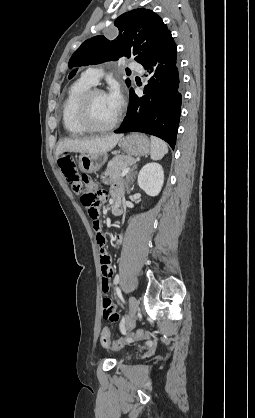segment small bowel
<instances>
[{
    "label": "small bowel",
    "instance_id": "obj_1",
    "mask_svg": "<svg viewBox=\"0 0 255 418\" xmlns=\"http://www.w3.org/2000/svg\"><path fill=\"white\" fill-rule=\"evenodd\" d=\"M121 189L120 187H114L111 191V197L113 200V209L114 211H121L120 204L118 199L121 196ZM121 241V237H117L115 240L116 244H119ZM97 254L99 255L100 259V266H101V287L104 293L108 292L110 288V279L113 275V266L111 263V257L109 255V249L107 248L110 245V238L109 237H98L97 238ZM102 307H103V317L105 320L115 322L119 320L120 313L116 311L115 305L112 299L108 296H104L102 299Z\"/></svg>",
    "mask_w": 255,
    "mask_h": 418
}]
</instances>
